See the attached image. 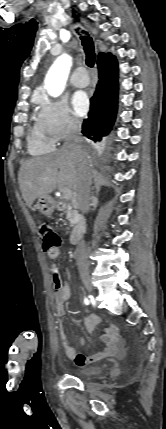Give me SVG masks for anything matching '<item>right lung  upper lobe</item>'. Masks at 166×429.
<instances>
[{"instance_id":"right-lung-upper-lobe-1","label":"right lung upper lobe","mask_w":166,"mask_h":429,"mask_svg":"<svg viewBox=\"0 0 166 429\" xmlns=\"http://www.w3.org/2000/svg\"><path fill=\"white\" fill-rule=\"evenodd\" d=\"M103 55H104L103 53H100L98 57L103 56Z\"/></svg>"}]
</instances>
